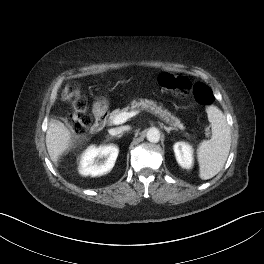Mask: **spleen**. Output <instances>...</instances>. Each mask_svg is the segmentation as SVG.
<instances>
[{"instance_id":"spleen-1","label":"spleen","mask_w":264,"mask_h":264,"mask_svg":"<svg viewBox=\"0 0 264 264\" xmlns=\"http://www.w3.org/2000/svg\"><path fill=\"white\" fill-rule=\"evenodd\" d=\"M212 137L200 143L197 150L199 177L210 179L218 174L227 160L231 146V131L223 112L216 106L206 109Z\"/></svg>"}]
</instances>
